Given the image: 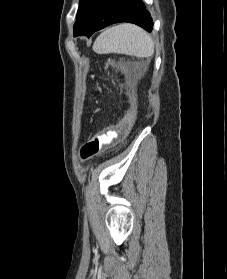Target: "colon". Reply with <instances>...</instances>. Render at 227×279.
I'll return each instance as SVG.
<instances>
[{
	"label": "colon",
	"mask_w": 227,
	"mask_h": 279,
	"mask_svg": "<svg viewBox=\"0 0 227 279\" xmlns=\"http://www.w3.org/2000/svg\"><path fill=\"white\" fill-rule=\"evenodd\" d=\"M125 101L128 106H131L129 96H125ZM113 138L114 136L108 130L95 134L82 145L80 150L81 158L87 160L94 157L103 147L108 146Z\"/></svg>",
	"instance_id": "obj_1"
}]
</instances>
